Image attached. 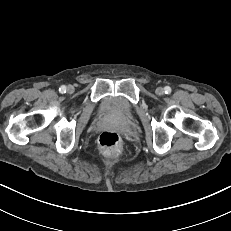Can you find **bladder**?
<instances>
[{"label":"bladder","mask_w":231,"mask_h":231,"mask_svg":"<svg viewBox=\"0 0 231 231\" xmlns=\"http://www.w3.org/2000/svg\"><path fill=\"white\" fill-rule=\"evenodd\" d=\"M101 110L117 118H128L132 113L131 106L123 99L116 97L106 98L102 102Z\"/></svg>","instance_id":"31cf9c89"}]
</instances>
